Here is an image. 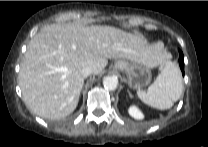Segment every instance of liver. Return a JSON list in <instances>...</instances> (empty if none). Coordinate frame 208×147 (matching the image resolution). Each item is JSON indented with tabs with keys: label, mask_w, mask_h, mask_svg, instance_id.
<instances>
[{
	"label": "liver",
	"mask_w": 208,
	"mask_h": 147,
	"mask_svg": "<svg viewBox=\"0 0 208 147\" xmlns=\"http://www.w3.org/2000/svg\"><path fill=\"white\" fill-rule=\"evenodd\" d=\"M170 57L137 34L112 26L51 24L30 41L18 75L25 104L49 119L70 115L84 84L82 69L100 74L108 59H127L154 68Z\"/></svg>",
	"instance_id": "6515ba94"
}]
</instances>
